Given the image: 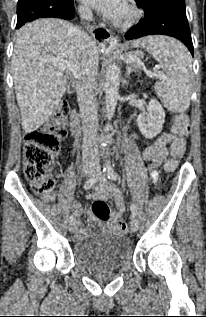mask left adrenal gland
<instances>
[{
	"label": "left adrenal gland",
	"instance_id": "1",
	"mask_svg": "<svg viewBox=\"0 0 206 317\" xmlns=\"http://www.w3.org/2000/svg\"><path fill=\"white\" fill-rule=\"evenodd\" d=\"M133 71H134V69H133L132 67L127 66V72H126V74H125V77H126V78L129 77L130 74H131V72H133Z\"/></svg>",
	"mask_w": 206,
	"mask_h": 317
}]
</instances>
